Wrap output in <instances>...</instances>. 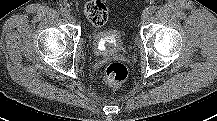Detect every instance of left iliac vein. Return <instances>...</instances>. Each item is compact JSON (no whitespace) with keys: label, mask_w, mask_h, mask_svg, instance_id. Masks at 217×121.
Wrapping results in <instances>:
<instances>
[{"label":"left iliac vein","mask_w":217,"mask_h":121,"mask_svg":"<svg viewBox=\"0 0 217 121\" xmlns=\"http://www.w3.org/2000/svg\"><path fill=\"white\" fill-rule=\"evenodd\" d=\"M149 17H150V12L148 11V9L144 10L142 15H141V20L143 22H146V21H148Z\"/></svg>","instance_id":"obj_1"}]
</instances>
